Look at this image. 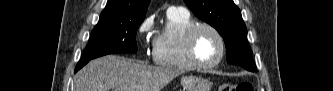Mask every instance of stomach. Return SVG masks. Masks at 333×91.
<instances>
[{
  "instance_id": "stomach-1",
  "label": "stomach",
  "mask_w": 333,
  "mask_h": 91,
  "mask_svg": "<svg viewBox=\"0 0 333 91\" xmlns=\"http://www.w3.org/2000/svg\"><path fill=\"white\" fill-rule=\"evenodd\" d=\"M181 83L184 91H209L211 87L210 81L196 76L182 77Z\"/></svg>"
}]
</instances>
